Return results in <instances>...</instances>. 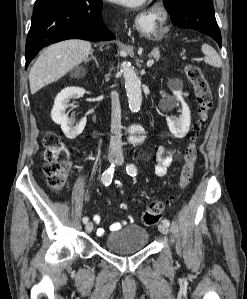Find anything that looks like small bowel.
<instances>
[{
    "mask_svg": "<svg viewBox=\"0 0 247 299\" xmlns=\"http://www.w3.org/2000/svg\"><path fill=\"white\" fill-rule=\"evenodd\" d=\"M157 161H158V164L155 167V172L158 176H163V175H165L167 168L171 165L172 155L170 154V152H168L167 150H165L164 148L161 147L157 153ZM116 185L118 188H121L120 183H118ZM120 208L125 210L127 208V206H126V204L122 203L120 205ZM101 219H102L101 215H99V214H95L93 216V221L96 224H99L101 222ZM120 228H121V224L119 222L112 223L110 226V229L112 231L119 230ZM97 234L99 236H103L105 234V231L100 228L97 230Z\"/></svg>",
    "mask_w": 247,
    "mask_h": 299,
    "instance_id": "1",
    "label": "small bowel"
}]
</instances>
